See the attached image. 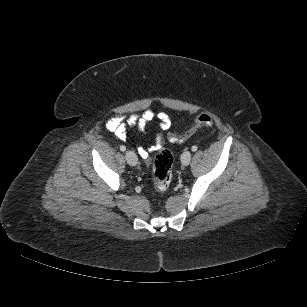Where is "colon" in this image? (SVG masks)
<instances>
[{"label": "colon", "instance_id": "1", "mask_svg": "<svg viewBox=\"0 0 307 307\" xmlns=\"http://www.w3.org/2000/svg\"><path fill=\"white\" fill-rule=\"evenodd\" d=\"M214 120L209 114L199 115L194 124L183 134L170 133L169 140L172 142H183L187 140L198 128L211 127ZM173 155L165 148H159L153 162V184L156 190L165 191L172 181Z\"/></svg>", "mask_w": 307, "mask_h": 307}]
</instances>
